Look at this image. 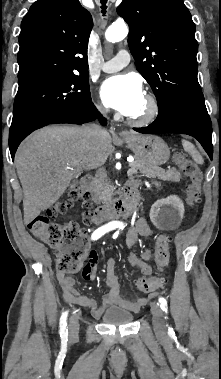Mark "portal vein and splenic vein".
I'll use <instances>...</instances> for the list:
<instances>
[{
    "instance_id": "18ae733b",
    "label": "portal vein and splenic vein",
    "mask_w": 221,
    "mask_h": 379,
    "mask_svg": "<svg viewBox=\"0 0 221 379\" xmlns=\"http://www.w3.org/2000/svg\"><path fill=\"white\" fill-rule=\"evenodd\" d=\"M128 162H129V163H132L133 160H128ZM133 172H134V170L130 168V169H129V174H132Z\"/></svg>"
}]
</instances>
